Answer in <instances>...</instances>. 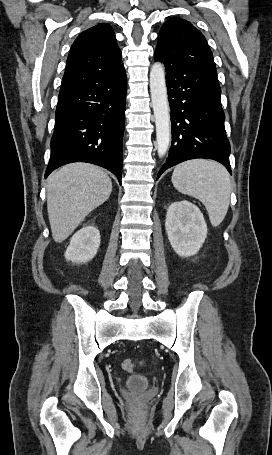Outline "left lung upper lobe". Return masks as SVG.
<instances>
[{
	"label": "left lung upper lobe",
	"instance_id": "5c2ea615",
	"mask_svg": "<svg viewBox=\"0 0 272 455\" xmlns=\"http://www.w3.org/2000/svg\"><path fill=\"white\" fill-rule=\"evenodd\" d=\"M155 56L166 69L193 67L216 72L205 37L190 22L181 18L173 17L163 24Z\"/></svg>",
	"mask_w": 272,
	"mask_h": 455
}]
</instances>
